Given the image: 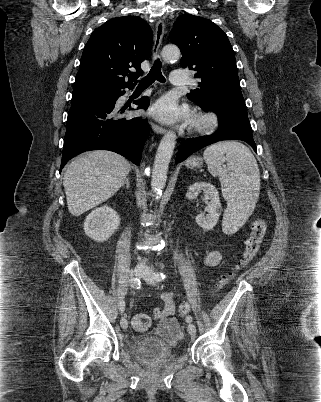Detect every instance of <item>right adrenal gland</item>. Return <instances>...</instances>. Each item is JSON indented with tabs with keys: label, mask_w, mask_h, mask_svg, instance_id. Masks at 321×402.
Here are the masks:
<instances>
[{
	"label": "right adrenal gland",
	"mask_w": 321,
	"mask_h": 402,
	"mask_svg": "<svg viewBox=\"0 0 321 402\" xmlns=\"http://www.w3.org/2000/svg\"><path fill=\"white\" fill-rule=\"evenodd\" d=\"M124 185H126V188L129 189V187H130L129 178H126V179H125V181H124L123 184H122V187H123Z\"/></svg>",
	"instance_id": "obj_1"
}]
</instances>
